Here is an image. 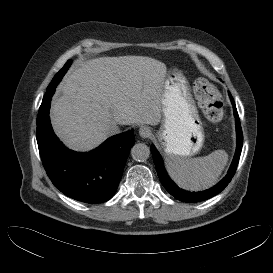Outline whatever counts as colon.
<instances>
[{"instance_id":"1","label":"colon","mask_w":273,"mask_h":273,"mask_svg":"<svg viewBox=\"0 0 273 273\" xmlns=\"http://www.w3.org/2000/svg\"><path fill=\"white\" fill-rule=\"evenodd\" d=\"M194 92L208 122L220 123L224 119L225 112L218 89L212 83L200 79L195 82Z\"/></svg>"}]
</instances>
